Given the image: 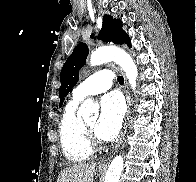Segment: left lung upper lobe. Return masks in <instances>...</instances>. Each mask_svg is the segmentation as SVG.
Returning a JSON list of instances; mask_svg holds the SVG:
<instances>
[{"label":"left lung upper lobe","mask_w":196,"mask_h":182,"mask_svg":"<svg viewBox=\"0 0 196 182\" xmlns=\"http://www.w3.org/2000/svg\"><path fill=\"white\" fill-rule=\"evenodd\" d=\"M120 19H116L110 15L103 16V25L99 33V39L103 42H114L115 44H127L131 48V41L128 34L122 28ZM94 35H91L93 38ZM88 55V47L84 43L78 44L72 54L64 63L60 81L61 87L59 89L60 104L62 106L66 95L72 90L79 80V70L86 63Z\"/></svg>","instance_id":"left-lung-upper-lobe-1"}]
</instances>
